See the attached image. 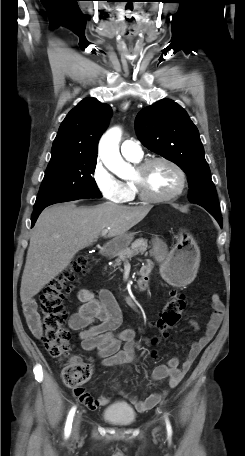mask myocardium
Wrapping results in <instances>:
<instances>
[{
    "label": "myocardium",
    "mask_w": 245,
    "mask_h": 456,
    "mask_svg": "<svg viewBox=\"0 0 245 456\" xmlns=\"http://www.w3.org/2000/svg\"><path fill=\"white\" fill-rule=\"evenodd\" d=\"M156 163H165L172 167L178 174L179 176V186L178 188L172 192L171 194L165 195V196H156L151 194L145 183V176L147 171L151 166H153ZM138 196L150 203H162V202H168L171 200H174L178 198L185 190L186 187V174L184 170L173 160L168 159L166 157H154V158H148L140 163L137 164L136 166V177L133 178L132 180Z\"/></svg>",
    "instance_id": "myocardium-1"
}]
</instances>
